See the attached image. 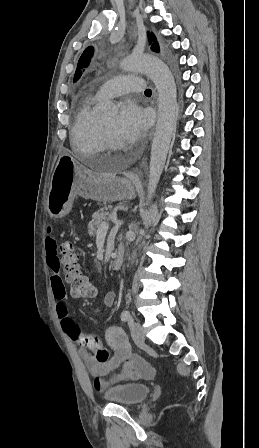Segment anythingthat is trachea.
I'll return each instance as SVG.
<instances>
[{
    "label": "trachea",
    "instance_id": "3493384b",
    "mask_svg": "<svg viewBox=\"0 0 259 448\" xmlns=\"http://www.w3.org/2000/svg\"><path fill=\"white\" fill-rule=\"evenodd\" d=\"M144 93H152V90H150V88H147Z\"/></svg>",
    "mask_w": 259,
    "mask_h": 448
}]
</instances>
